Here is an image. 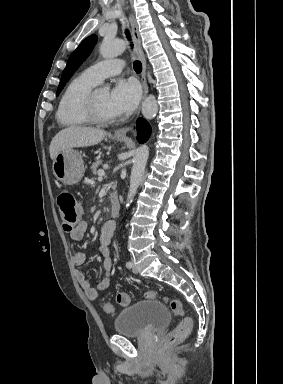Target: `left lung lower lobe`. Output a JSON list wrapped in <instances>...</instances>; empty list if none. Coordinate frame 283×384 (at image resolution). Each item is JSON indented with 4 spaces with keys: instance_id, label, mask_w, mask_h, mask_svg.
<instances>
[{
    "instance_id": "1",
    "label": "left lung lower lobe",
    "mask_w": 283,
    "mask_h": 384,
    "mask_svg": "<svg viewBox=\"0 0 283 384\" xmlns=\"http://www.w3.org/2000/svg\"><path fill=\"white\" fill-rule=\"evenodd\" d=\"M137 139L140 143L145 142L151 133V128L146 120L139 118L136 122Z\"/></svg>"
}]
</instances>
